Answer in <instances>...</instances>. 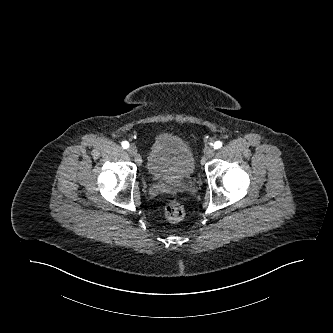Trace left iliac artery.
Masks as SVG:
<instances>
[{
	"label": "left iliac artery",
	"instance_id": "obj_1",
	"mask_svg": "<svg viewBox=\"0 0 333 333\" xmlns=\"http://www.w3.org/2000/svg\"><path fill=\"white\" fill-rule=\"evenodd\" d=\"M213 146H214V149H219V148L222 147V142L221 141H216Z\"/></svg>",
	"mask_w": 333,
	"mask_h": 333
}]
</instances>
